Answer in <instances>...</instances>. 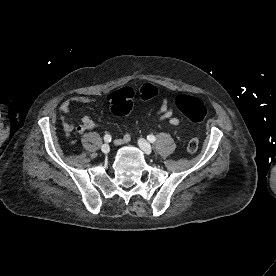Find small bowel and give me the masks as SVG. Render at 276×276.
Segmentation results:
<instances>
[{"label":"small bowel","instance_id":"c3829d8e","mask_svg":"<svg viewBox=\"0 0 276 276\" xmlns=\"http://www.w3.org/2000/svg\"><path fill=\"white\" fill-rule=\"evenodd\" d=\"M101 98L98 96H72L67 98L60 105V114L63 126L66 130H72L73 124L69 118L70 107L74 103L79 104H93L100 102ZM156 119L160 121H166L171 125H180L181 121L178 117L175 116L170 100L168 98H163L161 105L156 112ZM95 127L94 120L88 114H81V123L76 127L78 133H84ZM131 140V135L125 133L122 137L116 140L117 145H124Z\"/></svg>","mask_w":276,"mask_h":276}]
</instances>
